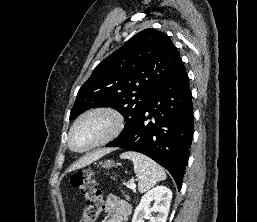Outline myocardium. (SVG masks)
Segmentation results:
<instances>
[{
	"label": "myocardium",
	"instance_id": "1",
	"mask_svg": "<svg viewBox=\"0 0 257 222\" xmlns=\"http://www.w3.org/2000/svg\"><path fill=\"white\" fill-rule=\"evenodd\" d=\"M94 115H102L108 118L110 122V128L108 132L98 142L91 145L90 147L83 150L75 149L72 145V134L74 129L82 120ZM124 124H125L124 115L117 108L110 105H101V106L92 107L86 110L85 112H83L82 114H80L71 125L68 133V139H67L68 146L73 152L86 153L102 145L107 144L108 142L112 141L117 136H119V134L122 132L124 128Z\"/></svg>",
	"mask_w": 257,
	"mask_h": 222
}]
</instances>
